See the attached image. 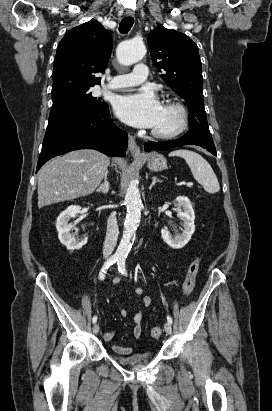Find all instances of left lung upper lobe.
<instances>
[{
    "instance_id": "left-lung-upper-lobe-1",
    "label": "left lung upper lobe",
    "mask_w": 272,
    "mask_h": 411,
    "mask_svg": "<svg viewBox=\"0 0 272 411\" xmlns=\"http://www.w3.org/2000/svg\"><path fill=\"white\" fill-rule=\"evenodd\" d=\"M151 58L161 78L185 100L190 130L209 129L204 109L202 66L197 45L185 34L157 28L148 36Z\"/></svg>"
}]
</instances>
